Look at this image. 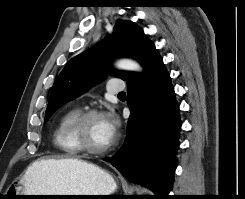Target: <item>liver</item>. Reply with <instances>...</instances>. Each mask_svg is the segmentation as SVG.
Returning <instances> with one entry per match:
<instances>
[{
    "mask_svg": "<svg viewBox=\"0 0 245 199\" xmlns=\"http://www.w3.org/2000/svg\"><path fill=\"white\" fill-rule=\"evenodd\" d=\"M85 162L76 157H57V158H43L34 162L26 171L23 178L27 181L33 180L37 182L46 174L55 172L66 168L69 164Z\"/></svg>",
    "mask_w": 245,
    "mask_h": 199,
    "instance_id": "obj_1",
    "label": "liver"
}]
</instances>
